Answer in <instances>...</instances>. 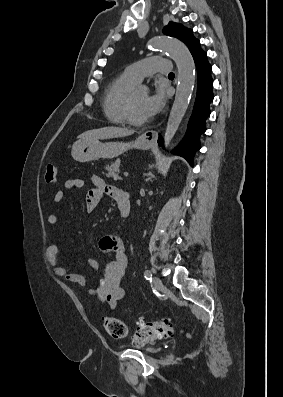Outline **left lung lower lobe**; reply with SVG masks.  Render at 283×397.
Masks as SVG:
<instances>
[{
  "label": "left lung lower lobe",
  "mask_w": 283,
  "mask_h": 397,
  "mask_svg": "<svg viewBox=\"0 0 283 397\" xmlns=\"http://www.w3.org/2000/svg\"><path fill=\"white\" fill-rule=\"evenodd\" d=\"M189 50L194 58L198 73L197 97L185 137L174 149L173 153L184 157L193 165L194 153L200 149L199 136L206 130L205 120L210 115L209 104L212 102L214 96L212 92V67L207 61L206 52L201 49L200 43ZM158 144L163 147L161 136H159Z\"/></svg>",
  "instance_id": "0a47b994"
}]
</instances>
